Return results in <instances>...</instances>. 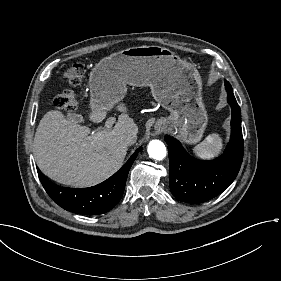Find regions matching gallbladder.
I'll return each instance as SVG.
<instances>
[{"label": "gallbladder", "instance_id": "gallbladder-1", "mask_svg": "<svg viewBox=\"0 0 281 281\" xmlns=\"http://www.w3.org/2000/svg\"><path fill=\"white\" fill-rule=\"evenodd\" d=\"M68 116L72 121H75V122L79 121L77 118H81V116L78 114H68Z\"/></svg>", "mask_w": 281, "mask_h": 281}]
</instances>
